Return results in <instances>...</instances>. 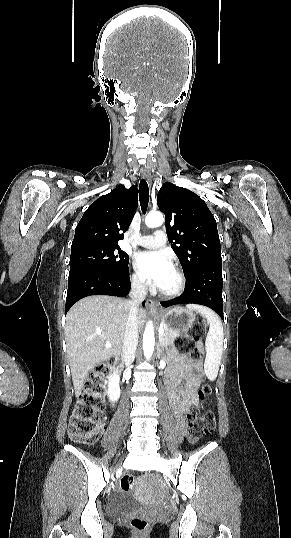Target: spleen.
<instances>
[{
  "mask_svg": "<svg viewBox=\"0 0 291 538\" xmlns=\"http://www.w3.org/2000/svg\"><path fill=\"white\" fill-rule=\"evenodd\" d=\"M186 307L202 314L210 326L205 340L206 358L204 368L207 377L214 381L218 375L223 350L222 323L218 316L205 306L189 304Z\"/></svg>",
  "mask_w": 291,
  "mask_h": 538,
  "instance_id": "spleen-1",
  "label": "spleen"
}]
</instances>
